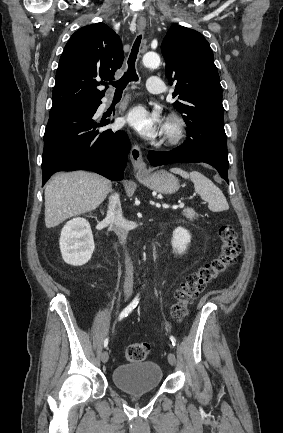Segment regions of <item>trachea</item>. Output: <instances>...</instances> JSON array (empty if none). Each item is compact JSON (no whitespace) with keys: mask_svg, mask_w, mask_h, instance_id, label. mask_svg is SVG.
<instances>
[{"mask_svg":"<svg viewBox=\"0 0 283 433\" xmlns=\"http://www.w3.org/2000/svg\"><path fill=\"white\" fill-rule=\"evenodd\" d=\"M141 39H142V35H139L136 38V40L134 41V44H133L132 49H131V53H130L128 61H127L128 69L124 73L122 78H120L119 80H116V82H110V84L116 88L115 93H122L124 88L127 87L129 82H133V81L138 80V76H137L136 69H135V62H136L137 55L139 52Z\"/></svg>","mask_w":283,"mask_h":433,"instance_id":"1","label":"trachea"}]
</instances>
